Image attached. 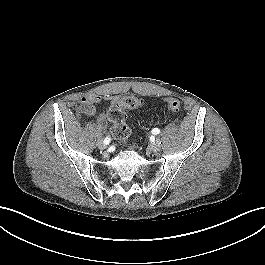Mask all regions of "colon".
<instances>
[{"mask_svg":"<svg viewBox=\"0 0 265 265\" xmlns=\"http://www.w3.org/2000/svg\"><path fill=\"white\" fill-rule=\"evenodd\" d=\"M167 107L173 112H177L181 103L177 98H167L166 99ZM144 100L136 96H124L118 98L113 102L111 107L108 110V119L111 122V133L112 136L122 142L126 143L130 136V129L126 123L127 119V110L135 109L139 107H144Z\"/></svg>","mask_w":265,"mask_h":265,"instance_id":"obj_1","label":"colon"}]
</instances>
